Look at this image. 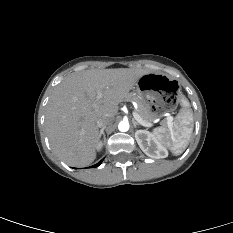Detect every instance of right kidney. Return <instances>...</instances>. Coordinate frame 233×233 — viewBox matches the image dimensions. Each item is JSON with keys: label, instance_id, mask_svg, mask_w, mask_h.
I'll return each instance as SVG.
<instances>
[{"label": "right kidney", "instance_id": "right-kidney-1", "mask_svg": "<svg viewBox=\"0 0 233 233\" xmlns=\"http://www.w3.org/2000/svg\"><path fill=\"white\" fill-rule=\"evenodd\" d=\"M101 147H102V144H101V143H98V145H97V150L99 151V150L101 149Z\"/></svg>", "mask_w": 233, "mask_h": 233}]
</instances>
